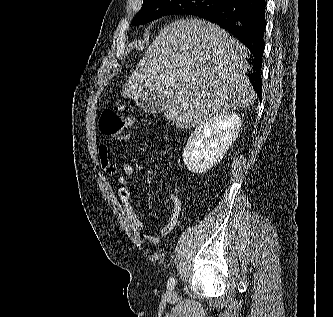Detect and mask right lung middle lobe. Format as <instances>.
I'll list each match as a JSON object with an SVG mask.
<instances>
[{"mask_svg": "<svg viewBox=\"0 0 333 317\" xmlns=\"http://www.w3.org/2000/svg\"><path fill=\"white\" fill-rule=\"evenodd\" d=\"M224 0H143L142 9L132 21L140 25L170 14H192L218 8Z\"/></svg>", "mask_w": 333, "mask_h": 317, "instance_id": "obj_1", "label": "right lung middle lobe"}]
</instances>
